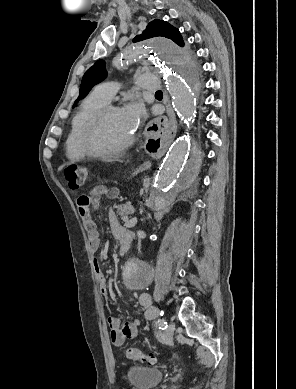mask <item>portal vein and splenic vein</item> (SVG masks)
<instances>
[{
    "instance_id": "1",
    "label": "portal vein and splenic vein",
    "mask_w": 296,
    "mask_h": 389,
    "mask_svg": "<svg viewBox=\"0 0 296 389\" xmlns=\"http://www.w3.org/2000/svg\"><path fill=\"white\" fill-rule=\"evenodd\" d=\"M137 224V218H132L131 220H128L125 222V226L128 228H132Z\"/></svg>"
}]
</instances>
